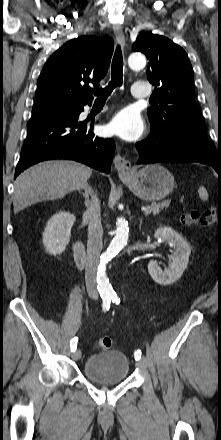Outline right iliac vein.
I'll use <instances>...</instances> for the list:
<instances>
[{"mask_svg": "<svg viewBox=\"0 0 221 440\" xmlns=\"http://www.w3.org/2000/svg\"><path fill=\"white\" fill-rule=\"evenodd\" d=\"M81 357V351L80 350H75L72 354V358L73 360H79Z\"/></svg>", "mask_w": 221, "mask_h": 440, "instance_id": "1", "label": "right iliac vein"}]
</instances>
